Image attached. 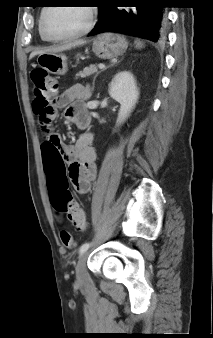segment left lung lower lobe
Segmentation results:
<instances>
[{
    "mask_svg": "<svg viewBox=\"0 0 213 338\" xmlns=\"http://www.w3.org/2000/svg\"><path fill=\"white\" fill-rule=\"evenodd\" d=\"M164 4L163 0H101L99 21L89 36L117 32L163 43L167 28Z\"/></svg>",
    "mask_w": 213,
    "mask_h": 338,
    "instance_id": "left-lung-lower-lobe-1",
    "label": "left lung lower lobe"
}]
</instances>
